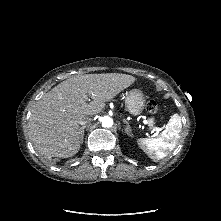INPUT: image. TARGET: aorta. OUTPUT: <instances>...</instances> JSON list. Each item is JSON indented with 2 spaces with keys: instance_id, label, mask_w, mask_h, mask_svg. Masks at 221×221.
Returning <instances> with one entry per match:
<instances>
[{
  "instance_id": "762f6f07",
  "label": "aorta",
  "mask_w": 221,
  "mask_h": 221,
  "mask_svg": "<svg viewBox=\"0 0 221 221\" xmlns=\"http://www.w3.org/2000/svg\"><path fill=\"white\" fill-rule=\"evenodd\" d=\"M102 126L105 128H110L113 125V119L109 116H104L101 119Z\"/></svg>"
}]
</instances>
